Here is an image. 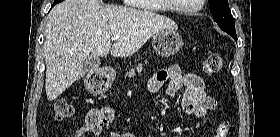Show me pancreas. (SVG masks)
<instances>
[{
	"mask_svg": "<svg viewBox=\"0 0 280 137\" xmlns=\"http://www.w3.org/2000/svg\"><path fill=\"white\" fill-rule=\"evenodd\" d=\"M147 64V61L145 62ZM143 70L142 64L139 63L136 68H132L129 72L126 73V77H134L137 72H141Z\"/></svg>",
	"mask_w": 280,
	"mask_h": 137,
	"instance_id": "obj_1",
	"label": "pancreas"
}]
</instances>
